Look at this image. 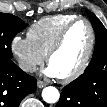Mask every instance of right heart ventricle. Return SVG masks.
<instances>
[{
	"mask_svg": "<svg viewBox=\"0 0 107 107\" xmlns=\"http://www.w3.org/2000/svg\"><path fill=\"white\" fill-rule=\"evenodd\" d=\"M76 18L73 14L43 17L30 26L28 38L46 56L64 26Z\"/></svg>",
	"mask_w": 107,
	"mask_h": 107,
	"instance_id": "right-heart-ventricle-1",
	"label": "right heart ventricle"
}]
</instances>
